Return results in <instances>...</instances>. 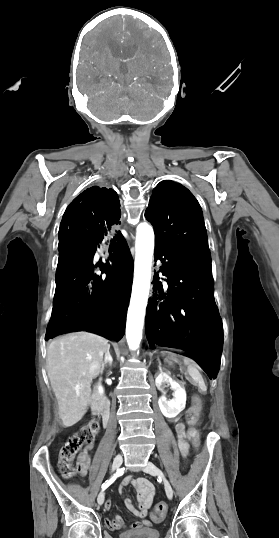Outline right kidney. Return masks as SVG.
<instances>
[{
	"label": "right kidney",
	"instance_id": "ca27d5eb",
	"mask_svg": "<svg viewBox=\"0 0 279 538\" xmlns=\"http://www.w3.org/2000/svg\"><path fill=\"white\" fill-rule=\"evenodd\" d=\"M98 392H99V394H103V388H102V386H99V388H98Z\"/></svg>",
	"mask_w": 279,
	"mask_h": 538
}]
</instances>
